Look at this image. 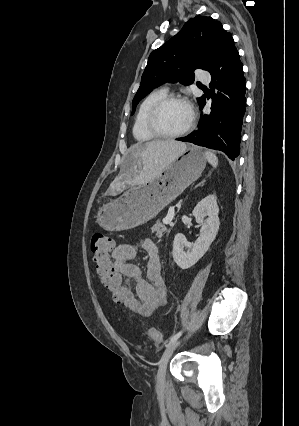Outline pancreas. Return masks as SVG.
<instances>
[{
	"mask_svg": "<svg viewBox=\"0 0 299 426\" xmlns=\"http://www.w3.org/2000/svg\"><path fill=\"white\" fill-rule=\"evenodd\" d=\"M170 229H167V227L161 223L160 220H157V222L152 227V232L156 233V236L161 238L163 233H169Z\"/></svg>",
	"mask_w": 299,
	"mask_h": 426,
	"instance_id": "pancreas-1",
	"label": "pancreas"
}]
</instances>
